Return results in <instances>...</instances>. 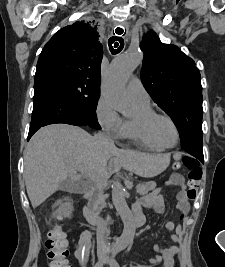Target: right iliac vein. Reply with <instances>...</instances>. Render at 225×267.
<instances>
[{
	"label": "right iliac vein",
	"mask_w": 225,
	"mask_h": 267,
	"mask_svg": "<svg viewBox=\"0 0 225 267\" xmlns=\"http://www.w3.org/2000/svg\"><path fill=\"white\" fill-rule=\"evenodd\" d=\"M103 256V252L98 253V262H101Z\"/></svg>",
	"instance_id": "1"
}]
</instances>
